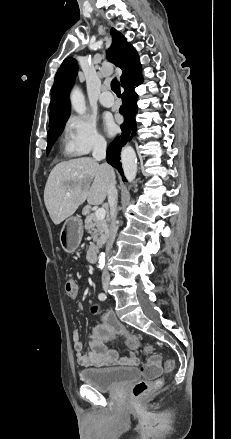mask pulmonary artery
<instances>
[{
  "instance_id": "1",
  "label": "pulmonary artery",
  "mask_w": 231,
  "mask_h": 439,
  "mask_svg": "<svg viewBox=\"0 0 231 439\" xmlns=\"http://www.w3.org/2000/svg\"><path fill=\"white\" fill-rule=\"evenodd\" d=\"M99 102L104 107H112L114 105V98L107 90V87L104 88V91L100 95Z\"/></svg>"
}]
</instances>
